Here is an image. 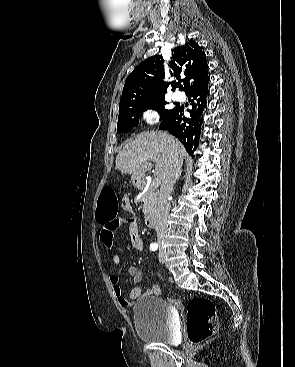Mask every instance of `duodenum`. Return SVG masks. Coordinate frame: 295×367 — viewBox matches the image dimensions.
Here are the masks:
<instances>
[{
    "label": "duodenum",
    "mask_w": 295,
    "mask_h": 367,
    "mask_svg": "<svg viewBox=\"0 0 295 367\" xmlns=\"http://www.w3.org/2000/svg\"><path fill=\"white\" fill-rule=\"evenodd\" d=\"M157 218H158V214L156 211H152L150 212L146 218H145V224L148 227H153L155 226L156 222H157Z\"/></svg>",
    "instance_id": "obj_1"
}]
</instances>
